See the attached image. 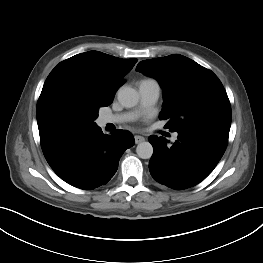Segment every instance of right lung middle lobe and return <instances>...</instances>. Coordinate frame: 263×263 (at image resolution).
Listing matches in <instances>:
<instances>
[{"mask_svg": "<svg viewBox=\"0 0 263 263\" xmlns=\"http://www.w3.org/2000/svg\"><path fill=\"white\" fill-rule=\"evenodd\" d=\"M109 104L98 91L76 80L44 86L36 110L40 137L94 128L99 108Z\"/></svg>", "mask_w": 263, "mask_h": 263, "instance_id": "1", "label": "right lung middle lobe"}]
</instances>
